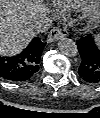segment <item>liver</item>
<instances>
[{
	"label": "liver",
	"instance_id": "obj_1",
	"mask_svg": "<svg viewBox=\"0 0 100 118\" xmlns=\"http://www.w3.org/2000/svg\"><path fill=\"white\" fill-rule=\"evenodd\" d=\"M43 0H0V53L13 56L35 36L32 23L45 17Z\"/></svg>",
	"mask_w": 100,
	"mask_h": 118
}]
</instances>
